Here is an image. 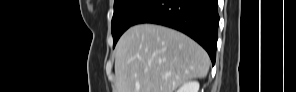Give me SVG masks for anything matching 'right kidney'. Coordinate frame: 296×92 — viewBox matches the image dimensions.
<instances>
[{"mask_svg": "<svg viewBox=\"0 0 296 92\" xmlns=\"http://www.w3.org/2000/svg\"><path fill=\"white\" fill-rule=\"evenodd\" d=\"M199 83L197 81H188L185 82L177 92H198L199 91Z\"/></svg>", "mask_w": 296, "mask_h": 92, "instance_id": "ca27d5eb", "label": "right kidney"}]
</instances>
